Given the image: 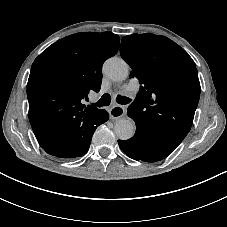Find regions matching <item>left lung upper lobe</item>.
<instances>
[{
  "label": "left lung upper lobe",
  "instance_id": "obj_1",
  "mask_svg": "<svg viewBox=\"0 0 227 227\" xmlns=\"http://www.w3.org/2000/svg\"><path fill=\"white\" fill-rule=\"evenodd\" d=\"M120 52L132 68L130 77L142 84L128 116L153 141L175 150L191 129L199 102L194 61L169 38L150 33L123 37Z\"/></svg>",
  "mask_w": 227,
  "mask_h": 227
}]
</instances>
